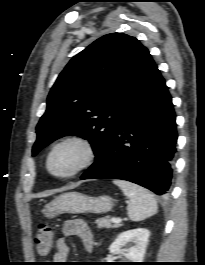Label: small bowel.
I'll use <instances>...</instances> for the list:
<instances>
[{
    "label": "small bowel",
    "mask_w": 205,
    "mask_h": 265,
    "mask_svg": "<svg viewBox=\"0 0 205 265\" xmlns=\"http://www.w3.org/2000/svg\"><path fill=\"white\" fill-rule=\"evenodd\" d=\"M62 232L64 237L58 239L56 243V252L53 256V263L61 264L67 260L70 247L66 238L77 236L81 239L84 249L92 252L94 247V237L87 223L81 219L67 220L63 224Z\"/></svg>",
    "instance_id": "1"
}]
</instances>
